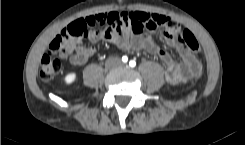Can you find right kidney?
Returning <instances> with one entry per match:
<instances>
[{
    "mask_svg": "<svg viewBox=\"0 0 245 145\" xmlns=\"http://www.w3.org/2000/svg\"><path fill=\"white\" fill-rule=\"evenodd\" d=\"M77 78V75L75 72H71V73H68L65 78H64V81L66 84H71L73 83Z\"/></svg>",
    "mask_w": 245,
    "mask_h": 145,
    "instance_id": "ca27d5eb",
    "label": "right kidney"
}]
</instances>
